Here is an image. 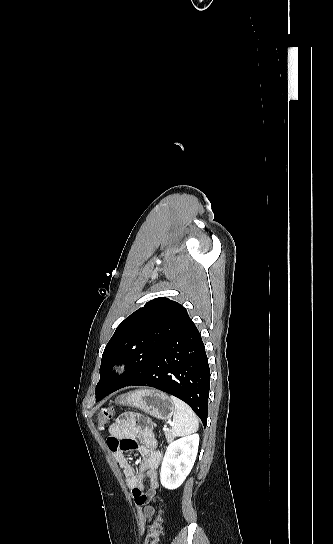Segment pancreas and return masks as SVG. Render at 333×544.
I'll return each mask as SVG.
<instances>
[{
	"mask_svg": "<svg viewBox=\"0 0 333 544\" xmlns=\"http://www.w3.org/2000/svg\"><path fill=\"white\" fill-rule=\"evenodd\" d=\"M165 437H166L167 441H170L173 438L172 435H171V432L169 430L165 431Z\"/></svg>",
	"mask_w": 333,
	"mask_h": 544,
	"instance_id": "pancreas-1",
	"label": "pancreas"
}]
</instances>
